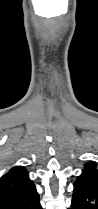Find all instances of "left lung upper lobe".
Segmentation results:
<instances>
[{
    "label": "left lung upper lobe",
    "mask_w": 98,
    "mask_h": 209,
    "mask_svg": "<svg viewBox=\"0 0 98 209\" xmlns=\"http://www.w3.org/2000/svg\"><path fill=\"white\" fill-rule=\"evenodd\" d=\"M76 180H85L98 186V168L95 162H87Z\"/></svg>",
    "instance_id": "1"
}]
</instances>
